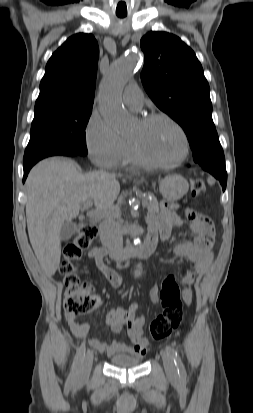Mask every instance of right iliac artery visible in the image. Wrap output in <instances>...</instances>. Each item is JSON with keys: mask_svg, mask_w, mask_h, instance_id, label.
Wrapping results in <instances>:
<instances>
[{"mask_svg": "<svg viewBox=\"0 0 253 413\" xmlns=\"http://www.w3.org/2000/svg\"><path fill=\"white\" fill-rule=\"evenodd\" d=\"M84 357H85V344L82 343L79 350H78L77 358H76V360H75V362L72 366V370H71V373H70V376H69V381L70 382L73 381V379L77 376V374H78V372L81 368L82 362L84 360Z\"/></svg>", "mask_w": 253, "mask_h": 413, "instance_id": "82829eb1", "label": "right iliac artery"}]
</instances>
